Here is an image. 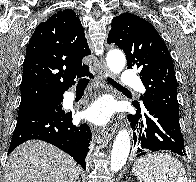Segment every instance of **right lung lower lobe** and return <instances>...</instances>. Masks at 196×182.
Segmentation results:
<instances>
[{
    "label": "right lung lower lobe",
    "mask_w": 196,
    "mask_h": 182,
    "mask_svg": "<svg viewBox=\"0 0 196 182\" xmlns=\"http://www.w3.org/2000/svg\"><path fill=\"white\" fill-rule=\"evenodd\" d=\"M31 139L55 145L86 169L85 157L89 151L91 130L87 124L73 125L72 113L65 112L62 105L18 118L8 154L21 143Z\"/></svg>",
    "instance_id": "obj_1"
}]
</instances>
